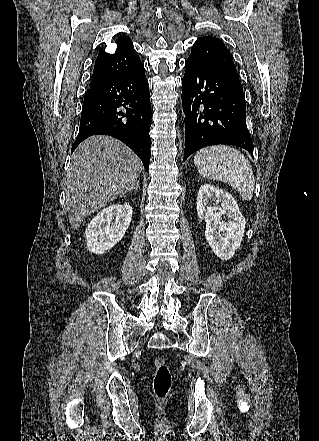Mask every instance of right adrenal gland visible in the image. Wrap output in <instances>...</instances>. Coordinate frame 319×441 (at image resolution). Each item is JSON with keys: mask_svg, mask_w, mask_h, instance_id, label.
<instances>
[{"mask_svg": "<svg viewBox=\"0 0 319 441\" xmlns=\"http://www.w3.org/2000/svg\"><path fill=\"white\" fill-rule=\"evenodd\" d=\"M138 187H139V181H137V183H136V185H135V187H134V190L137 192L138 191Z\"/></svg>", "mask_w": 319, "mask_h": 441, "instance_id": "obj_1", "label": "right adrenal gland"}]
</instances>
